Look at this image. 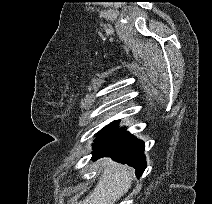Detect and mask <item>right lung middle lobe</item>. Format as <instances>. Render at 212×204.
Masks as SVG:
<instances>
[{
  "label": "right lung middle lobe",
  "mask_w": 212,
  "mask_h": 204,
  "mask_svg": "<svg viewBox=\"0 0 212 204\" xmlns=\"http://www.w3.org/2000/svg\"><path fill=\"white\" fill-rule=\"evenodd\" d=\"M116 126V121L112 122L111 124H109L108 126H106L102 131H101V135L98 139L95 140V143L93 144V147L99 146L102 143L107 142L108 140H110L111 138H113L114 136H116L117 134H119L120 132H122L124 129H117L114 132H108L107 130L112 129Z\"/></svg>",
  "instance_id": "dd1d6c3e"
}]
</instances>
